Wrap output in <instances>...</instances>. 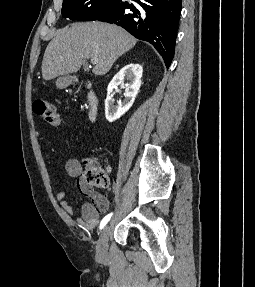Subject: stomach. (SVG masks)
Masks as SVG:
<instances>
[{
  "label": "stomach",
  "mask_w": 255,
  "mask_h": 287,
  "mask_svg": "<svg viewBox=\"0 0 255 287\" xmlns=\"http://www.w3.org/2000/svg\"><path fill=\"white\" fill-rule=\"evenodd\" d=\"M70 84H72V76H63V78H58L56 82V86L60 88V90H62V88H68Z\"/></svg>",
  "instance_id": "0dacf381"
}]
</instances>
